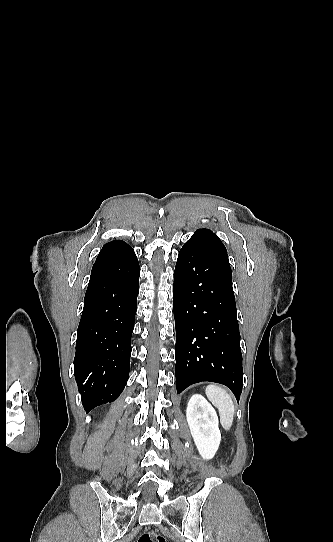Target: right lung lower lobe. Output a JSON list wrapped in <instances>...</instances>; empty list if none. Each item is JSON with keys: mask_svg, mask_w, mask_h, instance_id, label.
Masks as SVG:
<instances>
[{"mask_svg": "<svg viewBox=\"0 0 333 542\" xmlns=\"http://www.w3.org/2000/svg\"><path fill=\"white\" fill-rule=\"evenodd\" d=\"M140 267L125 242L100 251L78 326L74 373L86 412L112 402L129 375Z\"/></svg>", "mask_w": 333, "mask_h": 542, "instance_id": "1", "label": "right lung lower lobe"}]
</instances>
